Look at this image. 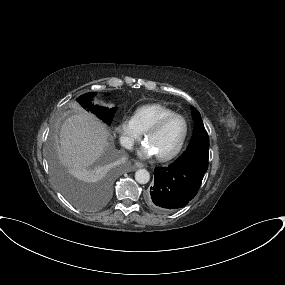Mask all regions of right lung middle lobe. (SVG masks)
I'll list each match as a JSON object with an SVG mask.
<instances>
[{
    "label": "right lung middle lobe",
    "instance_id": "obj_1",
    "mask_svg": "<svg viewBox=\"0 0 285 285\" xmlns=\"http://www.w3.org/2000/svg\"><path fill=\"white\" fill-rule=\"evenodd\" d=\"M94 96V93H86L77 98V102L80 103L83 107L87 108L89 111L96 114L100 119H102L105 123L111 124L113 119V115L116 112L117 108H106L103 106L93 105L91 103V99ZM53 150L50 152V159L52 164V170L55 175L56 182L62 191V193L66 196L68 200H70L76 206L83 209L93 208L95 205L90 203L79 191L77 185L69 179L62 170L58 167ZM102 186L104 190V194L107 196L109 193V186L111 182L110 176H105L102 179Z\"/></svg>",
    "mask_w": 285,
    "mask_h": 285
}]
</instances>
